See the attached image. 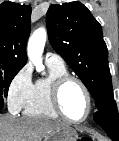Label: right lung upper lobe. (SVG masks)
<instances>
[{"instance_id":"right-lung-upper-lobe-1","label":"right lung upper lobe","mask_w":119,"mask_h":141,"mask_svg":"<svg viewBox=\"0 0 119 141\" xmlns=\"http://www.w3.org/2000/svg\"><path fill=\"white\" fill-rule=\"evenodd\" d=\"M31 11L14 2L0 5V69L20 70L26 64Z\"/></svg>"}]
</instances>
